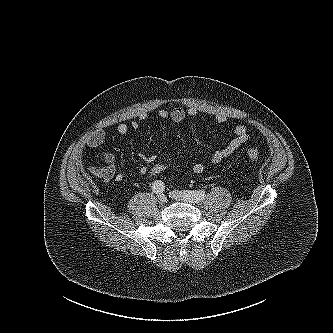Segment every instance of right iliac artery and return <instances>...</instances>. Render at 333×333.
I'll list each match as a JSON object with an SVG mask.
<instances>
[{
  "label": "right iliac artery",
  "mask_w": 333,
  "mask_h": 333,
  "mask_svg": "<svg viewBox=\"0 0 333 333\" xmlns=\"http://www.w3.org/2000/svg\"><path fill=\"white\" fill-rule=\"evenodd\" d=\"M152 189L156 194H160L164 192L165 185L161 180H157L154 183H152Z\"/></svg>",
  "instance_id": "right-iliac-artery-1"
}]
</instances>
